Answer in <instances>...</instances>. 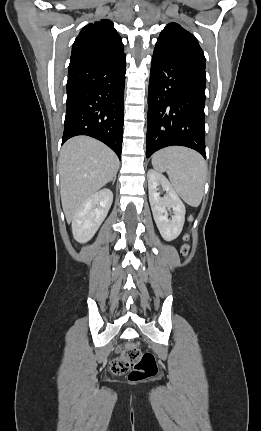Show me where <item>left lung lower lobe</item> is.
Instances as JSON below:
<instances>
[{
	"label": "left lung lower lobe",
	"instance_id": "0a47b994",
	"mask_svg": "<svg viewBox=\"0 0 261 431\" xmlns=\"http://www.w3.org/2000/svg\"><path fill=\"white\" fill-rule=\"evenodd\" d=\"M205 68L154 50L148 93L146 157L173 145L205 153Z\"/></svg>",
	"mask_w": 261,
	"mask_h": 431
}]
</instances>
